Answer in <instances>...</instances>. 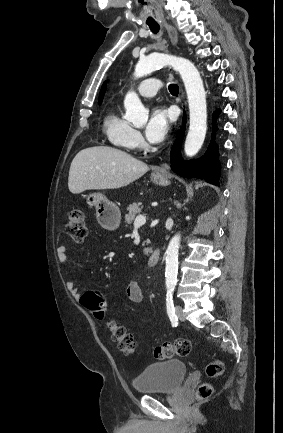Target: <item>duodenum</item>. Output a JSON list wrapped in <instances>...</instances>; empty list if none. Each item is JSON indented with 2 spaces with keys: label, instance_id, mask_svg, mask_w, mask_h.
I'll list each match as a JSON object with an SVG mask.
<instances>
[{
  "label": "duodenum",
  "instance_id": "1",
  "mask_svg": "<svg viewBox=\"0 0 283 433\" xmlns=\"http://www.w3.org/2000/svg\"><path fill=\"white\" fill-rule=\"evenodd\" d=\"M161 259V252L159 249H155L148 258V264L151 267H155L158 265Z\"/></svg>",
  "mask_w": 283,
  "mask_h": 433
}]
</instances>
